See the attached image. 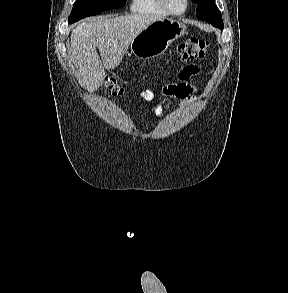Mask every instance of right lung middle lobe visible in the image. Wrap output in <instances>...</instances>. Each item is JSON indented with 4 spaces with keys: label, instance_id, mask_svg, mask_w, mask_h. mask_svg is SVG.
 Masks as SVG:
<instances>
[{
    "label": "right lung middle lobe",
    "instance_id": "obj_1",
    "mask_svg": "<svg viewBox=\"0 0 288 293\" xmlns=\"http://www.w3.org/2000/svg\"><path fill=\"white\" fill-rule=\"evenodd\" d=\"M126 0H76L68 23L72 24L82 18L99 14L105 10L120 8Z\"/></svg>",
    "mask_w": 288,
    "mask_h": 293
}]
</instances>
